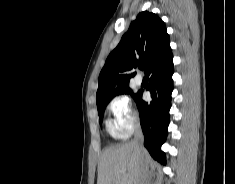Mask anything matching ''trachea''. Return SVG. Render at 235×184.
<instances>
[{"label":"trachea","mask_w":235,"mask_h":184,"mask_svg":"<svg viewBox=\"0 0 235 184\" xmlns=\"http://www.w3.org/2000/svg\"><path fill=\"white\" fill-rule=\"evenodd\" d=\"M143 68H144L143 66H140V69H141V70H143Z\"/></svg>","instance_id":"obj_1"}]
</instances>
